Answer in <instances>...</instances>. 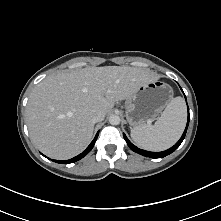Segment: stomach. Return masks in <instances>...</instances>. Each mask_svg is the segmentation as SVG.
Segmentation results:
<instances>
[{
  "label": "stomach",
  "mask_w": 221,
  "mask_h": 221,
  "mask_svg": "<svg viewBox=\"0 0 221 221\" xmlns=\"http://www.w3.org/2000/svg\"><path fill=\"white\" fill-rule=\"evenodd\" d=\"M173 98V89L163 81H150L126 99V119L135 128L152 121Z\"/></svg>",
  "instance_id": "obj_1"
}]
</instances>
